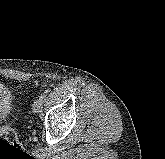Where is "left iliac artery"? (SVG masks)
I'll return each instance as SVG.
<instances>
[{
  "label": "left iliac artery",
  "mask_w": 165,
  "mask_h": 159,
  "mask_svg": "<svg viewBox=\"0 0 165 159\" xmlns=\"http://www.w3.org/2000/svg\"><path fill=\"white\" fill-rule=\"evenodd\" d=\"M45 98H46V93L44 92L43 94H41V96L39 97V99L44 102L45 101Z\"/></svg>",
  "instance_id": "1"
}]
</instances>
